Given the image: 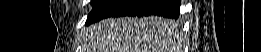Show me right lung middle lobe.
<instances>
[{
    "label": "right lung middle lobe",
    "instance_id": "dd1d6c3e",
    "mask_svg": "<svg viewBox=\"0 0 261 52\" xmlns=\"http://www.w3.org/2000/svg\"><path fill=\"white\" fill-rule=\"evenodd\" d=\"M106 0H92L91 4L93 6V9L97 8L98 6L102 5Z\"/></svg>",
    "mask_w": 261,
    "mask_h": 52
}]
</instances>
